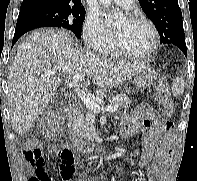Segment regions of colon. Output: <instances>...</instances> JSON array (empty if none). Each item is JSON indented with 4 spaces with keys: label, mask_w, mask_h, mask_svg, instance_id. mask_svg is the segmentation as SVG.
Wrapping results in <instances>:
<instances>
[{
    "label": "colon",
    "mask_w": 197,
    "mask_h": 181,
    "mask_svg": "<svg viewBox=\"0 0 197 181\" xmlns=\"http://www.w3.org/2000/svg\"><path fill=\"white\" fill-rule=\"evenodd\" d=\"M157 99L161 113L166 117H171L174 111V105L170 99L166 81L160 83L157 89ZM59 129L60 126L57 119L51 114L45 115L39 125V132L45 136L53 135L57 133ZM29 156L32 159V163H34L36 167L35 173L29 181H67L74 173L75 158L70 149H62L58 153V158L60 161V175L57 178L50 175L45 170L44 157L41 152L34 150L30 152Z\"/></svg>",
    "instance_id": "5ec220e1"
}]
</instances>
